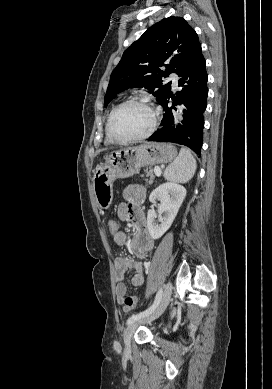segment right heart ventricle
Returning <instances> with one entry per match:
<instances>
[{"label":"right heart ventricle","mask_w":272,"mask_h":389,"mask_svg":"<svg viewBox=\"0 0 272 389\" xmlns=\"http://www.w3.org/2000/svg\"><path fill=\"white\" fill-rule=\"evenodd\" d=\"M108 121V119H107ZM105 135H106V142L107 143H114L115 141L110 137L109 133H108V129H107V122L105 124Z\"/></svg>","instance_id":"right-heart-ventricle-1"}]
</instances>
